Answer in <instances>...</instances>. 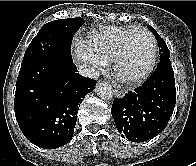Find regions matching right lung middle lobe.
Masks as SVG:
<instances>
[{
	"mask_svg": "<svg viewBox=\"0 0 196 166\" xmlns=\"http://www.w3.org/2000/svg\"><path fill=\"white\" fill-rule=\"evenodd\" d=\"M84 24L82 18H68L45 24L27 48L23 61L39 56H55L72 60L73 35Z\"/></svg>",
	"mask_w": 196,
	"mask_h": 166,
	"instance_id": "1",
	"label": "right lung middle lobe"
}]
</instances>
